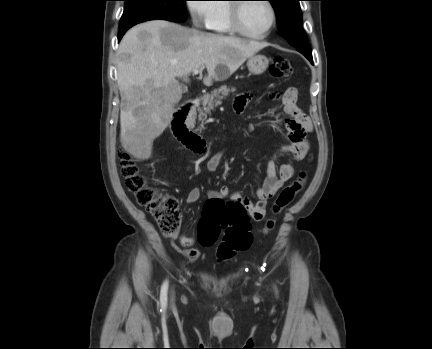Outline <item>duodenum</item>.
Here are the masks:
<instances>
[{
    "label": "duodenum",
    "mask_w": 432,
    "mask_h": 349,
    "mask_svg": "<svg viewBox=\"0 0 432 349\" xmlns=\"http://www.w3.org/2000/svg\"><path fill=\"white\" fill-rule=\"evenodd\" d=\"M199 105V98L191 99L173 114L171 128L174 136L189 150L203 154L206 152V142L192 129L194 112Z\"/></svg>",
    "instance_id": "1"
}]
</instances>
